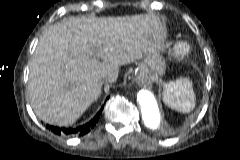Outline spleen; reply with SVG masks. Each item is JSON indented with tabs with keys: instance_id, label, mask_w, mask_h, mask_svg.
I'll return each mask as SVG.
<instances>
[{
	"instance_id": "3e777b00",
	"label": "spleen",
	"mask_w": 240,
	"mask_h": 160,
	"mask_svg": "<svg viewBox=\"0 0 240 160\" xmlns=\"http://www.w3.org/2000/svg\"><path fill=\"white\" fill-rule=\"evenodd\" d=\"M163 100L169 107L188 113L195 107V94L192 82L188 78H180L165 85Z\"/></svg>"
}]
</instances>
